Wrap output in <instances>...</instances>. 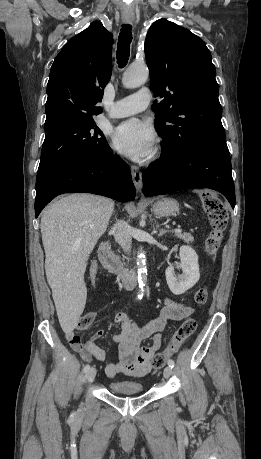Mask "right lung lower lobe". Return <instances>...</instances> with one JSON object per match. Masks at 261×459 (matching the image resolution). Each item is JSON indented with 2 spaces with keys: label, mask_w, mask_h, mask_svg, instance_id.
I'll return each mask as SVG.
<instances>
[{
  "label": "right lung lower lobe",
  "mask_w": 261,
  "mask_h": 459,
  "mask_svg": "<svg viewBox=\"0 0 261 459\" xmlns=\"http://www.w3.org/2000/svg\"><path fill=\"white\" fill-rule=\"evenodd\" d=\"M82 192L118 201L135 199L128 165L108 147L101 157L70 161L37 178L35 216L57 195Z\"/></svg>",
  "instance_id": "right-lung-lower-lobe-1"
}]
</instances>
